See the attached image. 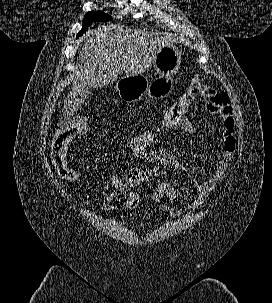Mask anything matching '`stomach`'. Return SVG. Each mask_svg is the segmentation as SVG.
<instances>
[{
	"instance_id": "1",
	"label": "stomach",
	"mask_w": 272,
	"mask_h": 303,
	"mask_svg": "<svg viewBox=\"0 0 272 303\" xmlns=\"http://www.w3.org/2000/svg\"><path fill=\"white\" fill-rule=\"evenodd\" d=\"M180 63L181 52L178 47L173 44L164 46L153 63L158 78L150 84L143 76L122 78L116 83L120 97L131 102L139 101L143 97L153 100L169 88V78L178 72Z\"/></svg>"
}]
</instances>
